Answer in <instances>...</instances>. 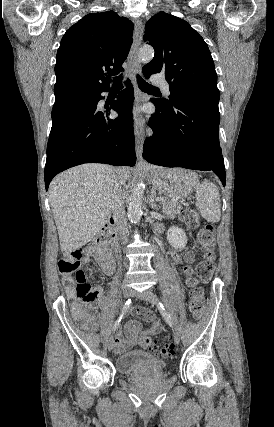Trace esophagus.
I'll return each mask as SVG.
<instances>
[{"label":"esophagus","instance_id":"1","mask_svg":"<svg viewBox=\"0 0 274 427\" xmlns=\"http://www.w3.org/2000/svg\"><path fill=\"white\" fill-rule=\"evenodd\" d=\"M143 33H144L143 23L141 20H137L135 23L133 44L128 56L129 69L132 73L131 75L132 83L136 89L135 101H134L135 107L139 106L142 102L140 91L137 89V84H136L134 74L141 73V64L139 63V60H138V51L142 42ZM144 123H145L144 118L142 116H138L135 120V126H134L135 149H136V155L139 163H143L142 150H143V143L145 139Z\"/></svg>","mask_w":274,"mask_h":427}]
</instances>
